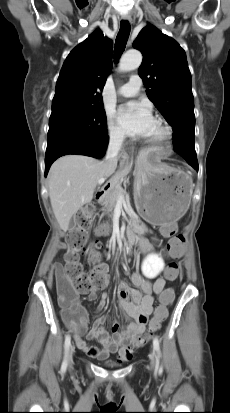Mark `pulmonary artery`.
Instances as JSON below:
<instances>
[{"label": "pulmonary artery", "instance_id": "pulmonary-artery-1", "mask_svg": "<svg viewBox=\"0 0 230 413\" xmlns=\"http://www.w3.org/2000/svg\"><path fill=\"white\" fill-rule=\"evenodd\" d=\"M141 85V78L139 76H132L126 84L118 89L117 93L123 97H132L139 92Z\"/></svg>", "mask_w": 230, "mask_h": 413}]
</instances>
